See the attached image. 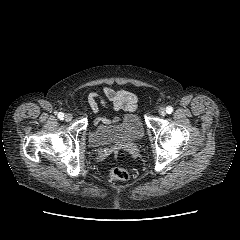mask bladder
Segmentation results:
<instances>
[{
	"mask_svg": "<svg viewBox=\"0 0 240 240\" xmlns=\"http://www.w3.org/2000/svg\"><path fill=\"white\" fill-rule=\"evenodd\" d=\"M144 136V127L139 116L134 112H126L111 124H98L89 134V143L93 148L135 145Z\"/></svg>",
	"mask_w": 240,
	"mask_h": 240,
	"instance_id": "1",
	"label": "bladder"
}]
</instances>
